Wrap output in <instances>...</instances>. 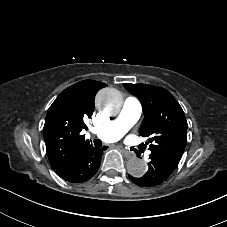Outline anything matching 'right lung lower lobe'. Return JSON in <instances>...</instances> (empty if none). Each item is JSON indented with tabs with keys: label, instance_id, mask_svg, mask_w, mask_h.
<instances>
[{
	"label": "right lung lower lobe",
	"instance_id": "obj_1",
	"mask_svg": "<svg viewBox=\"0 0 227 227\" xmlns=\"http://www.w3.org/2000/svg\"><path fill=\"white\" fill-rule=\"evenodd\" d=\"M103 150L92 145L86 147L72 158L62 172L56 174L72 183L89 180L98 171Z\"/></svg>",
	"mask_w": 227,
	"mask_h": 227
}]
</instances>
